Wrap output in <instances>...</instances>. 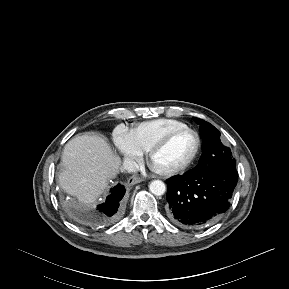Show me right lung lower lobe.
<instances>
[{"mask_svg":"<svg viewBox=\"0 0 289 289\" xmlns=\"http://www.w3.org/2000/svg\"><path fill=\"white\" fill-rule=\"evenodd\" d=\"M125 194V188L118 184L111 189L110 195L105 203L97 207V211L93 214V221L98 225H110L119 216V205Z\"/></svg>","mask_w":289,"mask_h":289,"instance_id":"98d812e1","label":"right lung lower lobe"}]
</instances>
